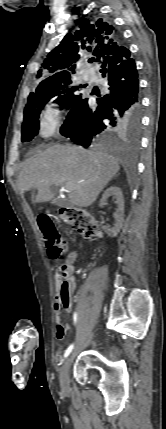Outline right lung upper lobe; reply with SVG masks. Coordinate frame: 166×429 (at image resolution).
<instances>
[{
  "mask_svg": "<svg viewBox=\"0 0 166 429\" xmlns=\"http://www.w3.org/2000/svg\"><path fill=\"white\" fill-rule=\"evenodd\" d=\"M110 26L80 25V31L68 33L60 44L45 58L38 71L37 78L42 79L39 85H52L70 79L75 63L83 55L93 50L97 61L116 56L123 49L118 40L109 31Z\"/></svg>",
  "mask_w": 166,
  "mask_h": 429,
  "instance_id": "cb5924a9",
  "label": "right lung upper lobe"
}]
</instances>
